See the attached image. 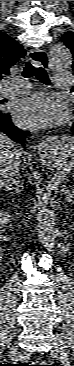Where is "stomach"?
Returning a JSON list of instances; mask_svg holds the SVG:
<instances>
[{"mask_svg": "<svg viewBox=\"0 0 74 366\" xmlns=\"http://www.w3.org/2000/svg\"><path fill=\"white\" fill-rule=\"evenodd\" d=\"M53 146L56 149H62V147L72 146V142H70L68 140H61V141H58L57 143L53 144Z\"/></svg>", "mask_w": 74, "mask_h": 366, "instance_id": "obj_1", "label": "stomach"}]
</instances>
